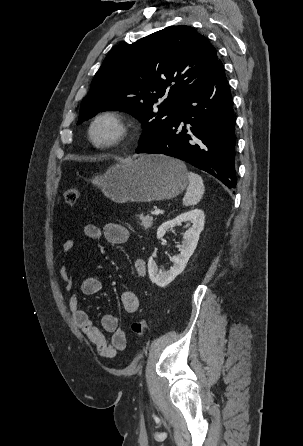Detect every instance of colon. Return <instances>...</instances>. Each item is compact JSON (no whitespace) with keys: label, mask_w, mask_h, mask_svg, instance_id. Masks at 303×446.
<instances>
[{"label":"colon","mask_w":303,"mask_h":446,"mask_svg":"<svg viewBox=\"0 0 303 446\" xmlns=\"http://www.w3.org/2000/svg\"><path fill=\"white\" fill-rule=\"evenodd\" d=\"M64 200L67 204L73 206L79 201V193L75 188H69L64 193ZM147 329L146 321L137 320L132 324V331L138 337H143Z\"/></svg>","instance_id":"colon-1"}]
</instances>
